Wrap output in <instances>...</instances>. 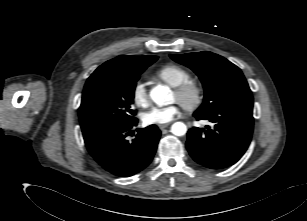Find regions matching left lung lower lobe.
<instances>
[{"instance_id": "1", "label": "left lung lower lobe", "mask_w": 307, "mask_h": 221, "mask_svg": "<svg viewBox=\"0 0 307 221\" xmlns=\"http://www.w3.org/2000/svg\"><path fill=\"white\" fill-rule=\"evenodd\" d=\"M252 108L230 107L208 115L194 113L197 120H209L213 127H194L187 133L191 157L211 169L235 164L247 150L253 132Z\"/></svg>"}]
</instances>
